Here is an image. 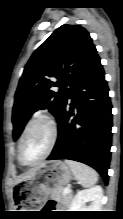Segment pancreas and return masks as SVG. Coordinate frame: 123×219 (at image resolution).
<instances>
[{
	"instance_id": "pancreas-1",
	"label": "pancreas",
	"mask_w": 123,
	"mask_h": 219,
	"mask_svg": "<svg viewBox=\"0 0 123 219\" xmlns=\"http://www.w3.org/2000/svg\"><path fill=\"white\" fill-rule=\"evenodd\" d=\"M51 196L56 200L64 203H69L72 199V194H65L63 188L52 191Z\"/></svg>"
}]
</instances>
